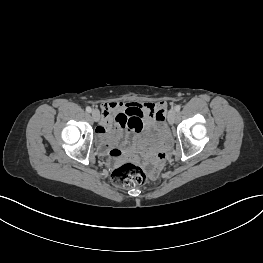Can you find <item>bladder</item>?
I'll list each match as a JSON object with an SVG mask.
<instances>
[{
  "instance_id": "obj_1",
  "label": "bladder",
  "mask_w": 263,
  "mask_h": 263,
  "mask_svg": "<svg viewBox=\"0 0 263 263\" xmlns=\"http://www.w3.org/2000/svg\"><path fill=\"white\" fill-rule=\"evenodd\" d=\"M166 138V130L162 126H157L146 137L152 144H157L164 141Z\"/></svg>"
}]
</instances>
